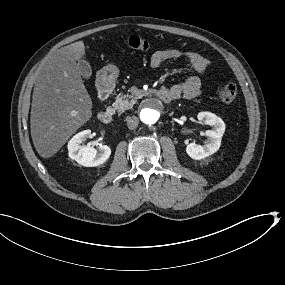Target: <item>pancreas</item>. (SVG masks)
Here are the masks:
<instances>
[{
	"mask_svg": "<svg viewBox=\"0 0 285 285\" xmlns=\"http://www.w3.org/2000/svg\"><path fill=\"white\" fill-rule=\"evenodd\" d=\"M138 100L137 94H126L112 100L113 107L119 114L133 107V104Z\"/></svg>",
	"mask_w": 285,
	"mask_h": 285,
	"instance_id": "1",
	"label": "pancreas"
}]
</instances>
